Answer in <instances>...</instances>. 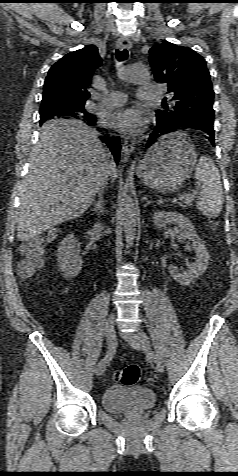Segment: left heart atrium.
<instances>
[{"label": "left heart atrium", "mask_w": 238, "mask_h": 476, "mask_svg": "<svg viewBox=\"0 0 238 476\" xmlns=\"http://www.w3.org/2000/svg\"><path fill=\"white\" fill-rule=\"evenodd\" d=\"M106 121L119 132L130 136L140 134L146 126V120L141 111L135 108H127L110 113Z\"/></svg>", "instance_id": "left-heart-atrium-1"}]
</instances>
